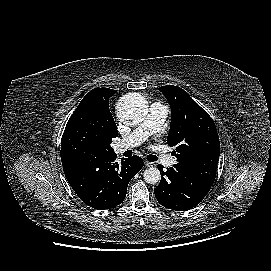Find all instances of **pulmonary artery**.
<instances>
[{"label": "pulmonary artery", "mask_w": 271, "mask_h": 271, "mask_svg": "<svg viewBox=\"0 0 271 271\" xmlns=\"http://www.w3.org/2000/svg\"><path fill=\"white\" fill-rule=\"evenodd\" d=\"M169 113L167 105L155 102L150 106L145 121L133 130L130 135L117 143L114 147L115 152L120 154L128 149L134 148L143 143L150 135L157 133ZM161 161L167 166H172L175 159L169 156H162Z\"/></svg>", "instance_id": "obj_1"}]
</instances>
